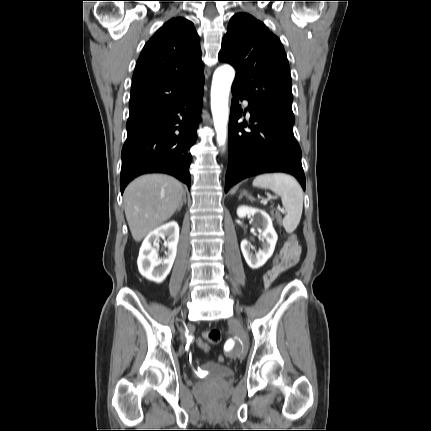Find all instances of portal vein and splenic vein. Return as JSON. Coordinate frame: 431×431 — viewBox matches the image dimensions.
Segmentation results:
<instances>
[{"instance_id":"1","label":"portal vein and splenic vein","mask_w":431,"mask_h":431,"mask_svg":"<svg viewBox=\"0 0 431 431\" xmlns=\"http://www.w3.org/2000/svg\"><path fill=\"white\" fill-rule=\"evenodd\" d=\"M263 204H266V201H262Z\"/></svg>"}]
</instances>
